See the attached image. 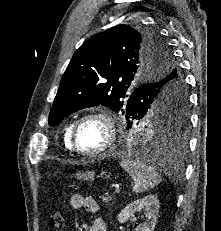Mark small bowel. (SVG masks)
Returning a JSON list of instances; mask_svg holds the SVG:
<instances>
[{
  "label": "small bowel",
  "instance_id": "small-bowel-1",
  "mask_svg": "<svg viewBox=\"0 0 221 231\" xmlns=\"http://www.w3.org/2000/svg\"><path fill=\"white\" fill-rule=\"evenodd\" d=\"M70 206L73 209L84 208L89 213H97L99 210V205L93 197H83L81 195H72ZM88 231H107L106 224L101 218H96L89 225Z\"/></svg>",
  "mask_w": 221,
  "mask_h": 231
}]
</instances>
